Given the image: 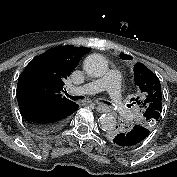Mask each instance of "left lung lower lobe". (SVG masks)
<instances>
[{
	"mask_svg": "<svg viewBox=\"0 0 177 177\" xmlns=\"http://www.w3.org/2000/svg\"><path fill=\"white\" fill-rule=\"evenodd\" d=\"M149 133L150 130L148 128L136 124L130 129H119L111 133L110 139L117 146L133 147L141 144L148 137Z\"/></svg>",
	"mask_w": 177,
	"mask_h": 177,
	"instance_id": "0a47b994",
	"label": "left lung lower lobe"
}]
</instances>
